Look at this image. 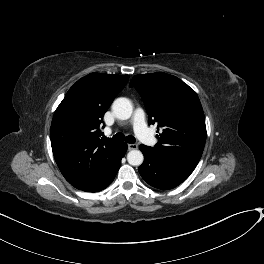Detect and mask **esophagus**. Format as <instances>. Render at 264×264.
Returning <instances> with one entry per match:
<instances>
[{
	"instance_id": "esophagus-1",
	"label": "esophagus",
	"mask_w": 264,
	"mask_h": 264,
	"mask_svg": "<svg viewBox=\"0 0 264 264\" xmlns=\"http://www.w3.org/2000/svg\"><path fill=\"white\" fill-rule=\"evenodd\" d=\"M137 148H138V145L136 143L128 144V149L129 150H134V149H137Z\"/></svg>"
}]
</instances>
